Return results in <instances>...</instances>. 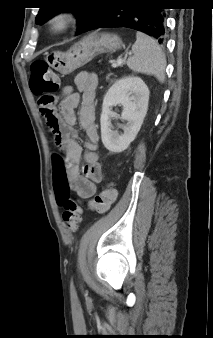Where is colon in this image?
Wrapping results in <instances>:
<instances>
[{"mask_svg": "<svg viewBox=\"0 0 213 338\" xmlns=\"http://www.w3.org/2000/svg\"><path fill=\"white\" fill-rule=\"evenodd\" d=\"M29 84L32 93L39 96L40 112L53 134L54 143L60 146L63 140V132L59 126V118L55 113L52 96L60 88L59 78L45 61L35 60L31 65ZM54 189L57 202L64 208L63 220L66 229L76 232L81 222L82 208L69 194L64 171L56 172ZM116 197V189L113 186H107L90 200L89 206L94 212L105 214L110 210Z\"/></svg>", "mask_w": 213, "mask_h": 338, "instance_id": "1", "label": "colon"}]
</instances>
